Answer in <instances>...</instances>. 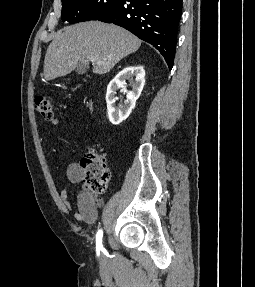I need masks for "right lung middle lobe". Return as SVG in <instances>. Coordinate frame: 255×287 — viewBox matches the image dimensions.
I'll return each instance as SVG.
<instances>
[{"mask_svg": "<svg viewBox=\"0 0 255 287\" xmlns=\"http://www.w3.org/2000/svg\"><path fill=\"white\" fill-rule=\"evenodd\" d=\"M62 21L77 23L88 20H96L112 7L117 6L123 0H61Z\"/></svg>", "mask_w": 255, "mask_h": 287, "instance_id": "1", "label": "right lung middle lobe"}]
</instances>
